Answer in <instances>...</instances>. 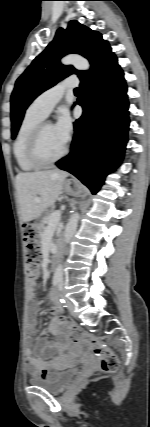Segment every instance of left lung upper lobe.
Wrapping results in <instances>:
<instances>
[{
	"mask_svg": "<svg viewBox=\"0 0 150 427\" xmlns=\"http://www.w3.org/2000/svg\"><path fill=\"white\" fill-rule=\"evenodd\" d=\"M109 51L111 48L101 34L76 20L70 21L66 30L59 28L54 40L16 81L11 95L12 138L16 137L25 110L39 94L71 74H77L80 80L85 78ZM69 53L87 58L91 70L79 71L73 66L62 65L60 58Z\"/></svg>",
	"mask_w": 150,
	"mask_h": 427,
	"instance_id": "obj_1",
	"label": "left lung upper lobe"
}]
</instances>
